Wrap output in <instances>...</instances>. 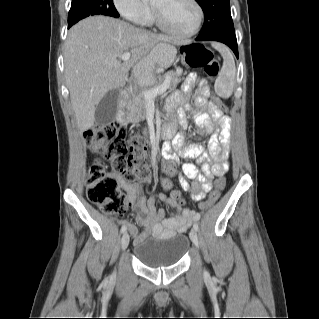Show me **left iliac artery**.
I'll return each instance as SVG.
<instances>
[{
  "label": "left iliac artery",
  "instance_id": "left-iliac-artery-1",
  "mask_svg": "<svg viewBox=\"0 0 319 319\" xmlns=\"http://www.w3.org/2000/svg\"><path fill=\"white\" fill-rule=\"evenodd\" d=\"M193 229H194L195 231H198L199 227H198V224H197V223H195V224L193 225Z\"/></svg>",
  "mask_w": 319,
  "mask_h": 319
}]
</instances>
